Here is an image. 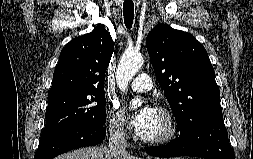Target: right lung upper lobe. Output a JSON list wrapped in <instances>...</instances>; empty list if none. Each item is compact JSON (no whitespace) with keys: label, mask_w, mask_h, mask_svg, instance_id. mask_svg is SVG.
Wrapping results in <instances>:
<instances>
[{"label":"right lung upper lobe","mask_w":253,"mask_h":159,"mask_svg":"<svg viewBox=\"0 0 253 159\" xmlns=\"http://www.w3.org/2000/svg\"><path fill=\"white\" fill-rule=\"evenodd\" d=\"M113 48L114 42L104 27L71 40L61 51L48 98L104 90Z\"/></svg>","instance_id":"right-lung-upper-lobe-1"}]
</instances>
